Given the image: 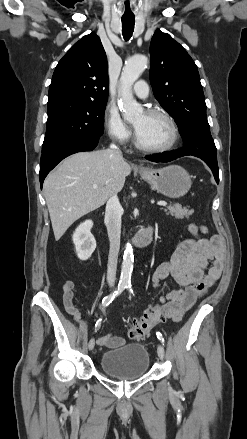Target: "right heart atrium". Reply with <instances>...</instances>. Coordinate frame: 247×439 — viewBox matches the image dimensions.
<instances>
[{"label":"right heart atrium","instance_id":"1","mask_svg":"<svg viewBox=\"0 0 247 439\" xmlns=\"http://www.w3.org/2000/svg\"><path fill=\"white\" fill-rule=\"evenodd\" d=\"M103 122L105 130L112 140L121 144L128 142L131 131L115 107L109 106L106 109Z\"/></svg>","mask_w":247,"mask_h":439}]
</instances>
